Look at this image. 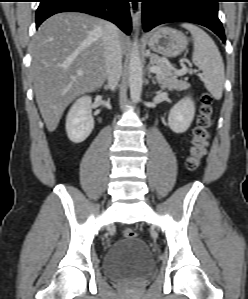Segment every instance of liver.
Wrapping results in <instances>:
<instances>
[{
    "label": "liver",
    "instance_id": "liver-1",
    "mask_svg": "<svg viewBox=\"0 0 248 299\" xmlns=\"http://www.w3.org/2000/svg\"><path fill=\"white\" fill-rule=\"evenodd\" d=\"M105 21L76 12L56 14L38 29L31 43V75L36 102L53 132L66 107L102 86L106 77ZM121 50L128 38L118 30Z\"/></svg>",
    "mask_w": 248,
    "mask_h": 299
}]
</instances>
